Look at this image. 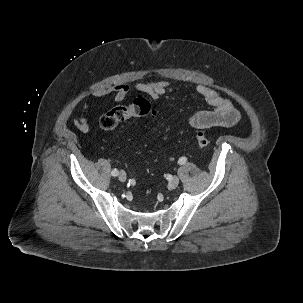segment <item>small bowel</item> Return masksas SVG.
<instances>
[{"instance_id":"c3829d8e","label":"small bowel","mask_w":303,"mask_h":303,"mask_svg":"<svg viewBox=\"0 0 303 303\" xmlns=\"http://www.w3.org/2000/svg\"><path fill=\"white\" fill-rule=\"evenodd\" d=\"M136 89L152 98H159L170 94L173 89L166 80L141 82L136 84ZM195 91L201 95L212 107L210 110H203L192 115L188 123L193 128L206 129L211 127H232L240 120V114L232 102L223 97L213 88L198 85ZM129 92V86L125 83L116 84L110 88L98 90L94 93L96 98H105L110 96L113 101L121 102ZM90 104L85 103L80 109V115L73 121L75 128L86 133L89 131V124L86 119V112Z\"/></svg>"}]
</instances>
